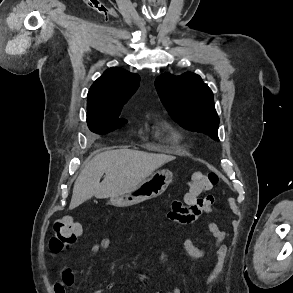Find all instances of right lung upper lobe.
Here are the masks:
<instances>
[{"mask_svg":"<svg viewBox=\"0 0 293 293\" xmlns=\"http://www.w3.org/2000/svg\"><path fill=\"white\" fill-rule=\"evenodd\" d=\"M140 76L112 67L91 86L87 95V117L121 112L123 105L139 86Z\"/></svg>","mask_w":293,"mask_h":293,"instance_id":"cb5924a9","label":"right lung upper lobe"}]
</instances>
